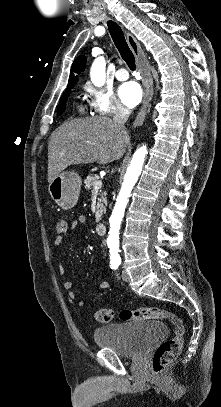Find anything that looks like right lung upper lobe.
<instances>
[{"label":"right lung upper lobe","mask_w":221,"mask_h":407,"mask_svg":"<svg viewBox=\"0 0 221 407\" xmlns=\"http://www.w3.org/2000/svg\"><path fill=\"white\" fill-rule=\"evenodd\" d=\"M85 64H86V57L81 55L78 56L71 67V75L69 77V82H68V88H73L74 84L77 83L78 81V76L76 74H80L82 71L85 69Z\"/></svg>","instance_id":"right-lung-upper-lobe-1"}]
</instances>
